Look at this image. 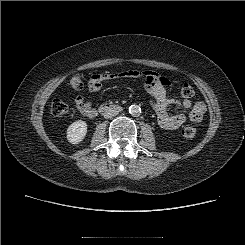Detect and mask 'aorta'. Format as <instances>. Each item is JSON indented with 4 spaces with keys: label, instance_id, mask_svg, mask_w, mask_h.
<instances>
[{
    "label": "aorta",
    "instance_id": "1",
    "mask_svg": "<svg viewBox=\"0 0 245 245\" xmlns=\"http://www.w3.org/2000/svg\"><path fill=\"white\" fill-rule=\"evenodd\" d=\"M140 112H141L140 106H138V105H136V104H133V105L129 106V113H130L131 115L136 116V115H139Z\"/></svg>",
    "mask_w": 245,
    "mask_h": 245
}]
</instances>
